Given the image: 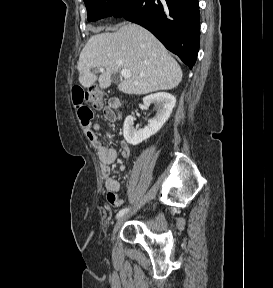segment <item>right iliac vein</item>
<instances>
[{"mask_svg": "<svg viewBox=\"0 0 273 288\" xmlns=\"http://www.w3.org/2000/svg\"><path fill=\"white\" fill-rule=\"evenodd\" d=\"M129 216H130V214H126V215L121 216V217L117 220V222H116V224H115V226H114V229H113L112 240L114 239L116 232H117V231L119 230V228L124 224V222L129 218Z\"/></svg>", "mask_w": 273, "mask_h": 288, "instance_id": "63e3f726", "label": "right iliac vein"}]
</instances>
